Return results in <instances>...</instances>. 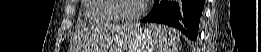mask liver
<instances>
[{
    "mask_svg": "<svg viewBox=\"0 0 261 52\" xmlns=\"http://www.w3.org/2000/svg\"><path fill=\"white\" fill-rule=\"evenodd\" d=\"M127 27L129 29L133 28L131 26H127ZM120 35H124V32L120 31L119 29L118 30H116V29L109 30V32H107L104 35L103 42H101L100 50L106 51V50L110 49L111 47H116V45L118 44V37Z\"/></svg>",
    "mask_w": 261,
    "mask_h": 52,
    "instance_id": "6515ba94",
    "label": "liver"
}]
</instances>
